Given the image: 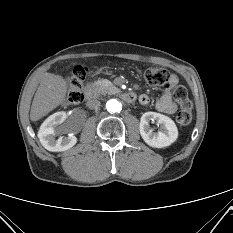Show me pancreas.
I'll list each match as a JSON object with an SVG mask.
<instances>
[{
  "mask_svg": "<svg viewBox=\"0 0 233 233\" xmlns=\"http://www.w3.org/2000/svg\"><path fill=\"white\" fill-rule=\"evenodd\" d=\"M89 88L93 93L102 95L113 93L116 90L114 84L107 79H99L92 83Z\"/></svg>",
  "mask_w": 233,
  "mask_h": 233,
  "instance_id": "1",
  "label": "pancreas"
}]
</instances>
